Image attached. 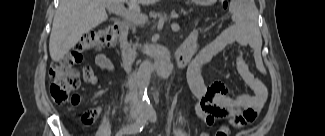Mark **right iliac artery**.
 I'll return each mask as SVG.
<instances>
[{"mask_svg": "<svg viewBox=\"0 0 325 136\" xmlns=\"http://www.w3.org/2000/svg\"><path fill=\"white\" fill-rule=\"evenodd\" d=\"M148 116L145 114H141L139 118L137 119L136 123H134L132 126H130L124 134H136L142 131L144 128L146 122H147ZM123 133H117V136L122 135Z\"/></svg>", "mask_w": 325, "mask_h": 136, "instance_id": "82829eb1", "label": "right iliac artery"}]
</instances>
